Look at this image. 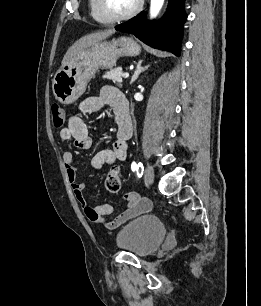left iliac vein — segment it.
<instances>
[{
	"label": "left iliac vein",
	"mask_w": 261,
	"mask_h": 306,
	"mask_svg": "<svg viewBox=\"0 0 261 306\" xmlns=\"http://www.w3.org/2000/svg\"><path fill=\"white\" fill-rule=\"evenodd\" d=\"M144 179L148 184H152L154 181V170L153 167L148 165L144 171Z\"/></svg>",
	"instance_id": "4c4485c4"
}]
</instances>
